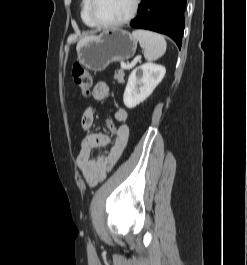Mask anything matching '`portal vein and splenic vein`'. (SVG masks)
Masks as SVG:
<instances>
[{"instance_id": "1", "label": "portal vein and splenic vein", "mask_w": 247, "mask_h": 265, "mask_svg": "<svg viewBox=\"0 0 247 265\" xmlns=\"http://www.w3.org/2000/svg\"><path fill=\"white\" fill-rule=\"evenodd\" d=\"M140 59H141V56H137L136 58H135V60L131 63V64H125V63H121V68L122 69H130V68H132L133 66H134V64L137 62V61H140Z\"/></svg>"}]
</instances>
